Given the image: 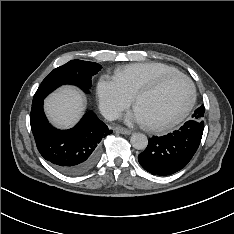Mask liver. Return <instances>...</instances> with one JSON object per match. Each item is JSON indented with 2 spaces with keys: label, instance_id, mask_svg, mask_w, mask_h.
Instances as JSON below:
<instances>
[{
  "label": "liver",
  "instance_id": "1",
  "mask_svg": "<svg viewBox=\"0 0 234 234\" xmlns=\"http://www.w3.org/2000/svg\"><path fill=\"white\" fill-rule=\"evenodd\" d=\"M85 108L83 94L71 86H65L45 100V112L49 120L59 128H70L81 118Z\"/></svg>",
  "mask_w": 234,
  "mask_h": 234
}]
</instances>
